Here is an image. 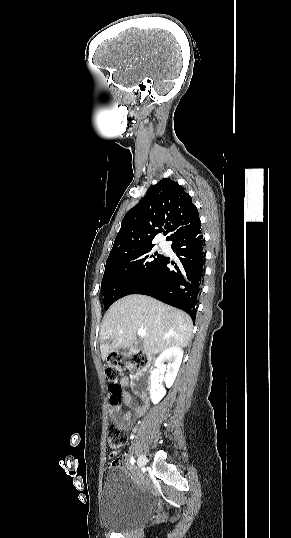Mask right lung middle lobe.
<instances>
[{
  "mask_svg": "<svg viewBox=\"0 0 291 538\" xmlns=\"http://www.w3.org/2000/svg\"><path fill=\"white\" fill-rule=\"evenodd\" d=\"M152 248L148 246L107 259L101 283L105 309L131 294L151 273L163 257L153 253Z\"/></svg>",
  "mask_w": 291,
  "mask_h": 538,
  "instance_id": "1",
  "label": "right lung middle lobe"
}]
</instances>
